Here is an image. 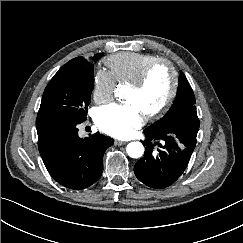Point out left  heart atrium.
<instances>
[{
	"instance_id": "1",
	"label": "left heart atrium",
	"mask_w": 243,
	"mask_h": 243,
	"mask_svg": "<svg viewBox=\"0 0 243 243\" xmlns=\"http://www.w3.org/2000/svg\"><path fill=\"white\" fill-rule=\"evenodd\" d=\"M95 123L103 132L126 137L134 128L141 125L142 112L134 104L111 103L99 107L95 112Z\"/></svg>"
}]
</instances>
